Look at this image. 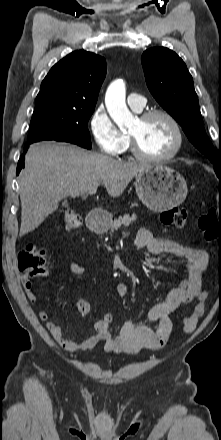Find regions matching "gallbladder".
I'll use <instances>...</instances> for the list:
<instances>
[{
    "label": "gallbladder",
    "instance_id": "bac80fb5",
    "mask_svg": "<svg viewBox=\"0 0 221 440\" xmlns=\"http://www.w3.org/2000/svg\"><path fill=\"white\" fill-rule=\"evenodd\" d=\"M63 205H64V206H66V205H67V201H66V200H64V202H63Z\"/></svg>",
    "mask_w": 221,
    "mask_h": 440
}]
</instances>
